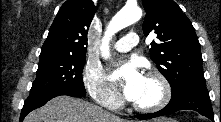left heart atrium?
I'll return each mask as SVG.
<instances>
[{
	"label": "left heart atrium",
	"mask_w": 221,
	"mask_h": 122,
	"mask_svg": "<svg viewBox=\"0 0 221 122\" xmlns=\"http://www.w3.org/2000/svg\"><path fill=\"white\" fill-rule=\"evenodd\" d=\"M145 77L140 71L139 63L130 60L121 63L110 75L113 83L119 84L124 96L133 101L139 94Z\"/></svg>",
	"instance_id": "1"
}]
</instances>
